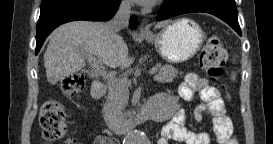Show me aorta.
<instances>
[{"instance_id":"762f6f07","label":"aorta","mask_w":273,"mask_h":144,"mask_svg":"<svg viewBox=\"0 0 273 144\" xmlns=\"http://www.w3.org/2000/svg\"><path fill=\"white\" fill-rule=\"evenodd\" d=\"M125 144H148V138L143 132L135 131L125 138Z\"/></svg>"}]
</instances>
